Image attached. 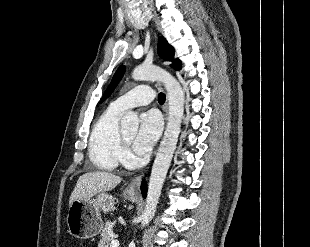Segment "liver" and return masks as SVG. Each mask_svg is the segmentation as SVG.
<instances>
[{
    "mask_svg": "<svg viewBox=\"0 0 310 247\" xmlns=\"http://www.w3.org/2000/svg\"><path fill=\"white\" fill-rule=\"evenodd\" d=\"M122 178L109 172L92 171L79 177L71 193L69 205L75 200H87L93 196L114 189Z\"/></svg>",
    "mask_w": 310,
    "mask_h": 247,
    "instance_id": "6515ba94",
    "label": "liver"
}]
</instances>
